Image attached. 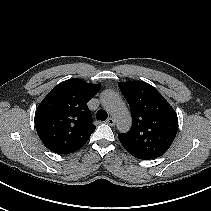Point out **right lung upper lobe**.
Segmentation results:
<instances>
[{
	"label": "right lung upper lobe",
	"instance_id": "right-lung-upper-lobe-1",
	"mask_svg": "<svg viewBox=\"0 0 211 211\" xmlns=\"http://www.w3.org/2000/svg\"><path fill=\"white\" fill-rule=\"evenodd\" d=\"M100 89V84L73 78L59 83L39 104L35 127L49 150L70 154L80 149L94 132L87 102Z\"/></svg>",
	"mask_w": 211,
	"mask_h": 211
}]
</instances>
